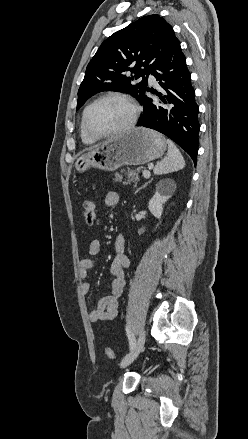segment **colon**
Returning a JSON list of instances; mask_svg holds the SVG:
<instances>
[{
  "instance_id": "5ec220e1",
  "label": "colon",
  "mask_w": 248,
  "mask_h": 439,
  "mask_svg": "<svg viewBox=\"0 0 248 439\" xmlns=\"http://www.w3.org/2000/svg\"><path fill=\"white\" fill-rule=\"evenodd\" d=\"M83 216L87 225H93V223L95 222L96 213L95 205L90 199H86L83 203ZM104 353L110 360H115L116 355L111 348L105 347Z\"/></svg>"
}]
</instances>
